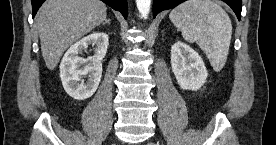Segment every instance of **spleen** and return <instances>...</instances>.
<instances>
[{"instance_id": "1", "label": "spleen", "mask_w": 276, "mask_h": 145, "mask_svg": "<svg viewBox=\"0 0 276 145\" xmlns=\"http://www.w3.org/2000/svg\"><path fill=\"white\" fill-rule=\"evenodd\" d=\"M170 20L189 42H196L216 72L229 53L232 24L228 14L212 0H188L173 9Z\"/></svg>"}]
</instances>
